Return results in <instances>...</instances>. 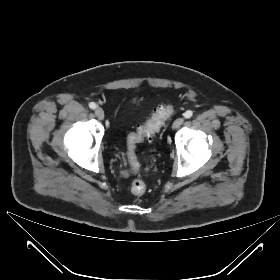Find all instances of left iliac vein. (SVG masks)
<instances>
[{
    "label": "left iliac vein",
    "instance_id": "4c4485c4",
    "mask_svg": "<svg viewBox=\"0 0 280 280\" xmlns=\"http://www.w3.org/2000/svg\"><path fill=\"white\" fill-rule=\"evenodd\" d=\"M183 123H184V118H182V117L177 118V119L174 121V123H173V125H172V128H173L174 130H176V129H178Z\"/></svg>",
    "mask_w": 280,
    "mask_h": 280
}]
</instances>
